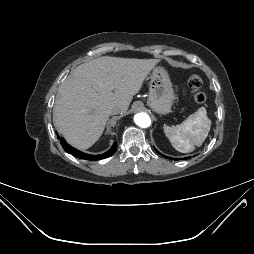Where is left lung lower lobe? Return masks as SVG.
<instances>
[{
    "label": "left lung lower lobe",
    "mask_w": 254,
    "mask_h": 254,
    "mask_svg": "<svg viewBox=\"0 0 254 254\" xmlns=\"http://www.w3.org/2000/svg\"><path fill=\"white\" fill-rule=\"evenodd\" d=\"M156 150V149H155ZM156 152H158L157 150H156ZM159 153V152H158ZM160 154V153H159ZM162 155V154H161ZM163 157H165V158H168V159H172V158H170V157H166V156H164V155H162ZM185 159H187V158H185ZM174 160H179V159H174Z\"/></svg>",
    "instance_id": "1"
}]
</instances>
